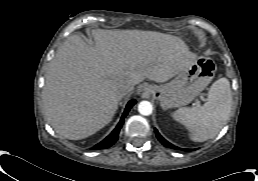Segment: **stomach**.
<instances>
[{
    "label": "stomach",
    "mask_w": 258,
    "mask_h": 181,
    "mask_svg": "<svg viewBox=\"0 0 258 181\" xmlns=\"http://www.w3.org/2000/svg\"><path fill=\"white\" fill-rule=\"evenodd\" d=\"M216 64L208 57H198L173 80L162 85H148L146 91L163 109L181 107L192 102L211 82Z\"/></svg>",
    "instance_id": "obj_1"
}]
</instances>
